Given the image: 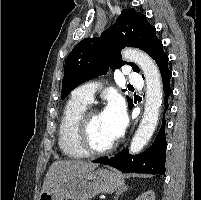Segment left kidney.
Segmentation results:
<instances>
[{
  "label": "left kidney",
  "mask_w": 201,
  "mask_h": 200,
  "mask_svg": "<svg viewBox=\"0 0 201 200\" xmlns=\"http://www.w3.org/2000/svg\"><path fill=\"white\" fill-rule=\"evenodd\" d=\"M135 200H155V193L152 190L146 191L138 196Z\"/></svg>",
  "instance_id": "5707ae66"
}]
</instances>
